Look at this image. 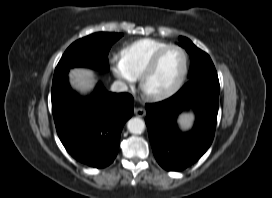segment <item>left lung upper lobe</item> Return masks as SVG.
<instances>
[{"label": "left lung upper lobe", "instance_id": "1", "mask_svg": "<svg viewBox=\"0 0 272 198\" xmlns=\"http://www.w3.org/2000/svg\"><path fill=\"white\" fill-rule=\"evenodd\" d=\"M180 45L190 54L189 78L216 73L214 64L207 53L197 48L188 38L179 37Z\"/></svg>", "mask_w": 272, "mask_h": 198}]
</instances>
